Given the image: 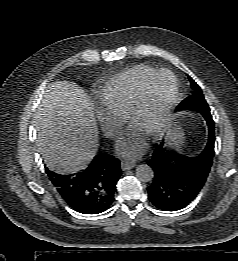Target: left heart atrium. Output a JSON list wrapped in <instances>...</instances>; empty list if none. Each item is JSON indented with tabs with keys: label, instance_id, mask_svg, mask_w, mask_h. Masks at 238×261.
<instances>
[{
	"label": "left heart atrium",
	"instance_id": "left-heart-atrium-1",
	"mask_svg": "<svg viewBox=\"0 0 238 261\" xmlns=\"http://www.w3.org/2000/svg\"><path fill=\"white\" fill-rule=\"evenodd\" d=\"M146 146V133L133 126L117 139L115 145L118 154L129 159L142 155Z\"/></svg>",
	"mask_w": 238,
	"mask_h": 261
}]
</instances>
